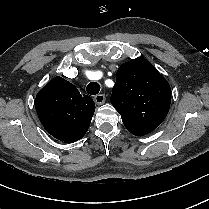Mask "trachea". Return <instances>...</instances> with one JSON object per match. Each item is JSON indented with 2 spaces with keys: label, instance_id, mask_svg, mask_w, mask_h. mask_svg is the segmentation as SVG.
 <instances>
[{
  "label": "trachea",
  "instance_id": "1",
  "mask_svg": "<svg viewBox=\"0 0 209 209\" xmlns=\"http://www.w3.org/2000/svg\"><path fill=\"white\" fill-rule=\"evenodd\" d=\"M100 88H101V87H100L99 83H97V82H91V83H89V84L87 85L86 91H87V93L90 94V95H96V94L99 93Z\"/></svg>",
  "mask_w": 209,
  "mask_h": 209
}]
</instances>
